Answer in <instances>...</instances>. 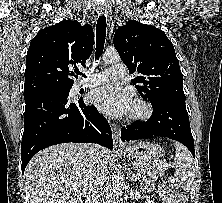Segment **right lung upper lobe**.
<instances>
[{
  "label": "right lung upper lobe",
  "instance_id": "cb5924a9",
  "mask_svg": "<svg viewBox=\"0 0 222 203\" xmlns=\"http://www.w3.org/2000/svg\"><path fill=\"white\" fill-rule=\"evenodd\" d=\"M94 33L89 24L63 20L40 30L31 40L26 56L24 94L72 86L73 69L85 66L93 50Z\"/></svg>",
  "mask_w": 222,
  "mask_h": 203
}]
</instances>
